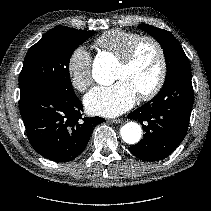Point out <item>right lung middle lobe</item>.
<instances>
[{
	"mask_svg": "<svg viewBox=\"0 0 211 211\" xmlns=\"http://www.w3.org/2000/svg\"><path fill=\"white\" fill-rule=\"evenodd\" d=\"M94 33L64 26L49 30L25 57L19 75L20 97L39 88L74 93L69 60L74 50Z\"/></svg>",
	"mask_w": 211,
	"mask_h": 211,
	"instance_id": "dd1d6c3e",
	"label": "right lung middle lobe"
}]
</instances>
